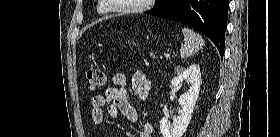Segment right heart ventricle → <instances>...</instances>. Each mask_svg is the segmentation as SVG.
<instances>
[{"instance_id": "obj_1", "label": "right heart ventricle", "mask_w": 280, "mask_h": 137, "mask_svg": "<svg viewBox=\"0 0 280 137\" xmlns=\"http://www.w3.org/2000/svg\"><path fill=\"white\" fill-rule=\"evenodd\" d=\"M96 10L102 14L107 12V9L102 4H98Z\"/></svg>"}]
</instances>
